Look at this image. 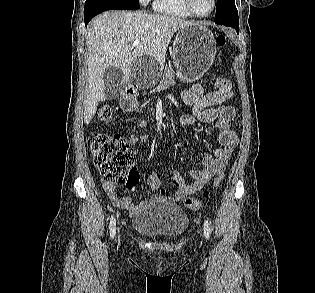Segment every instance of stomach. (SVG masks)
<instances>
[{
  "instance_id": "stomach-1",
  "label": "stomach",
  "mask_w": 315,
  "mask_h": 293,
  "mask_svg": "<svg viewBox=\"0 0 315 293\" xmlns=\"http://www.w3.org/2000/svg\"><path fill=\"white\" fill-rule=\"evenodd\" d=\"M216 55L213 33L203 24H193L180 29L173 44V60L178 77L185 83L200 79L212 65ZM120 110H138L144 96L135 92H122L118 97Z\"/></svg>"
}]
</instances>
